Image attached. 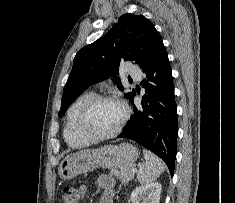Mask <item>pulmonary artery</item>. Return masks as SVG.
Wrapping results in <instances>:
<instances>
[{"label":"pulmonary artery","mask_w":235,"mask_h":203,"mask_svg":"<svg viewBox=\"0 0 235 203\" xmlns=\"http://www.w3.org/2000/svg\"><path fill=\"white\" fill-rule=\"evenodd\" d=\"M130 74H131L134 78H136V79H140V78H141V73H140L138 70H136V69H131V70H130Z\"/></svg>","instance_id":"obj_1"}]
</instances>
